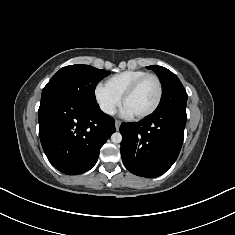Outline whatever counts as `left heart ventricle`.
<instances>
[{
	"label": "left heart ventricle",
	"mask_w": 235,
	"mask_h": 235,
	"mask_svg": "<svg viewBox=\"0 0 235 235\" xmlns=\"http://www.w3.org/2000/svg\"><path fill=\"white\" fill-rule=\"evenodd\" d=\"M158 97V85L154 78L146 79L124 102L125 107L132 115L140 114L150 109Z\"/></svg>",
	"instance_id": "left-heart-ventricle-1"
}]
</instances>
